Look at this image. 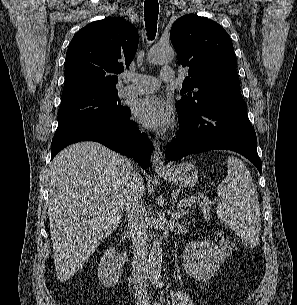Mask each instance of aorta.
I'll list each match as a JSON object with an SVG mask.
<instances>
[{
  "label": "aorta",
  "instance_id": "aorta-1",
  "mask_svg": "<svg viewBox=\"0 0 297 305\" xmlns=\"http://www.w3.org/2000/svg\"><path fill=\"white\" fill-rule=\"evenodd\" d=\"M175 51L172 46H155L148 54V61L152 64L169 63L174 59ZM162 239L153 241L148 260L149 278L157 281L160 278L162 269Z\"/></svg>",
  "mask_w": 297,
  "mask_h": 305
}]
</instances>
